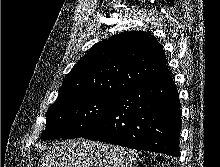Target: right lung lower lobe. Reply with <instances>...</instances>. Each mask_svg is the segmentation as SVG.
Segmentation results:
<instances>
[{
  "label": "right lung lower lobe",
  "mask_w": 220,
  "mask_h": 167,
  "mask_svg": "<svg viewBox=\"0 0 220 167\" xmlns=\"http://www.w3.org/2000/svg\"><path fill=\"white\" fill-rule=\"evenodd\" d=\"M181 110L167 75L116 95L104 116L82 138L179 155Z\"/></svg>",
  "instance_id": "1"
}]
</instances>
